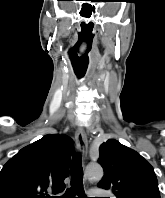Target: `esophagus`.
Masks as SVG:
<instances>
[{
  "label": "esophagus",
  "instance_id": "esophagus-1",
  "mask_svg": "<svg viewBox=\"0 0 165 198\" xmlns=\"http://www.w3.org/2000/svg\"><path fill=\"white\" fill-rule=\"evenodd\" d=\"M75 140L82 158L85 159L87 156L88 143L86 134L82 128L77 129L75 134Z\"/></svg>",
  "mask_w": 165,
  "mask_h": 198
}]
</instances>
